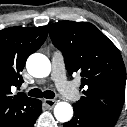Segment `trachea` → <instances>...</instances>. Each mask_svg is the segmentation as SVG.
<instances>
[{
    "mask_svg": "<svg viewBox=\"0 0 127 127\" xmlns=\"http://www.w3.org/2000/svg\"><path fill=\"white\" fill-rule=\"evenodd\" d=\"M28 95L31 96V97H36V98L45 97L47 99H52V98L55 97V93L53 91L46 90V91L42 92L38 88H35V89L30 90L28 92Z\"/></svg>",
    "mask_w": 127,
    "mask_h": 127,
    "instance_id": "1",
    "label": "trachea"
}]
</instances>
